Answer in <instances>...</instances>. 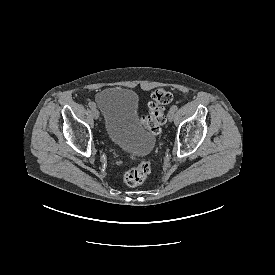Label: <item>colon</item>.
<instances>
[{"instance_id": "obj_1", "label": "colon", "mask_w": 275, "mask_h": 275, "mask_svg": "<svg viewBox=\"0 0 275 275\" xmlns=\"http://www.w3.org/2000/svg\"><path fill=\"white\" fill-rule=\"evenodd\" d=\"M172 100V94L163 89H156L148 102V113L140 115L141 124L154 135L161 132L162 126L166 122L164 108ZM131 158H134L131 155ZM151 165L147 160H142L137 166L128 169L123 176L124 182L128 186H137L141 184L150 174Z\"/></svg>"}]
</instances>
